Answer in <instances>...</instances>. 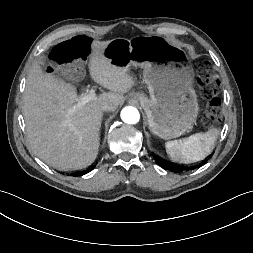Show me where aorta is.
Masks as SVG:
<instances>
[{"mask_svg": "<svg viewBox=\"0 0 253 253\" xmlns=\"http://www.w3.org/2000/svg\"><path fill=\"white\" fill-rule=\"evenodd\" d=\"M121 119L127 124H136L140 120L139 111L132 106H128L122 109Z\"/></svg>", "mask_w": 253, "mask_h": 253, "instance_id": "762f6f07", "label": "aorta"}]
</instances>
